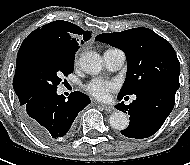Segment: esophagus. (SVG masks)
Listing matches in <instances>:
<instances>
[{
	"mask_svg": "<svg viewBox=\"0 0 190 165\" xmlns=\"http://www.w3.org/2000/svg\"><path fill=\"white\" fill-rule=\"evenodd\" d=\"M101 106L103 107V109L108 112V113H112L115 111V108L110 106V105H104V104H101Z\"/></svg>",
	"mask_w": 190,
	"mask_h": 165,
	"instance_id": "obj_1",
	"label": "esophagus"
}]
</instances>
